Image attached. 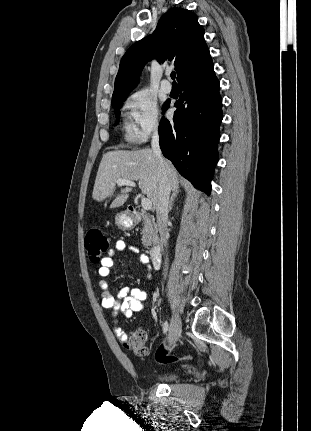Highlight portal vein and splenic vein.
<instances>
[{"instance_id": "18ae733b", "label": "portal vein and splenic vein", "mask_w": 311, "mask_h": 431, "mask_svg": "<svg viewBox=\"0 0 311 431\" xmlns=\"http://www.w3.org/2000/svg\"><path fill=\"white\" fill-rule=\"evenodd\" d=\"M117 186H131V188H136V184L134 182H130V180H116ZM141 206L143 210H151L152 202L148 200V198H142Z\"/></svg>"}]
</instances>
